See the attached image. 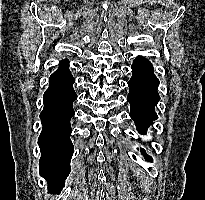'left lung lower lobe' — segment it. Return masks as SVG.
<instances>
[{
  "instance_id": "1",
  "label": "left lung lower lobe",
  "mask_w": 205,
  "mask_h": 200,
  "mask_svg": "<svg viewBox=\"0 0 205 200\" xmlns=\"http://www.w3.org/2000/svg\"><path fill=\"white\" fill-rule=\"evenodd\" d=\"M158 85L151 63L142 56L137 57L133 61L132 77L128 82L130 90L127 100L131 105L130 116L140 134H146L147 128L158 118L155 112V106L160 100ZM140 150L146 160L152 161L145 150Z\"/></svg>"
}]
</instances>
